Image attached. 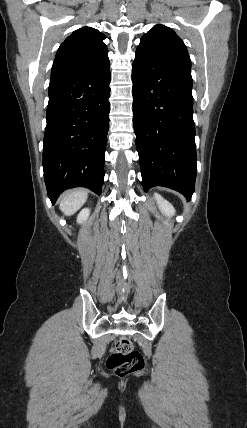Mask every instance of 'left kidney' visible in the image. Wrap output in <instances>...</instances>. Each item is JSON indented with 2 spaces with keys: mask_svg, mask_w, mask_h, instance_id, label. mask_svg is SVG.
<instances>
[{
  "mask_svg": "<svg viewBox=\"0 0 247 428\" xmlns=\"http://www.w3.org/2000/svg\"><path fill=\"white\" fill-rule=\"evenodd\" d=\"M155 199L157 201L159 209L164 215L171 217L175 214V209L171 205V203L163 199L159 194H155Z\"/></svg>",
  "mask_w": 247,
  "mask_h": 428,
  "instance_id": "1",
  "label": "left kidney"
}]
</instances>
